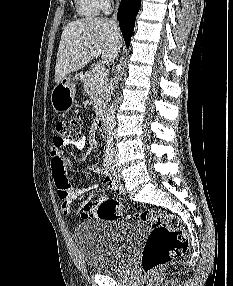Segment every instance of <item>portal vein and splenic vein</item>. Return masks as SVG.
Wrapping results in <instances>:
<instances>
[{
  "mask_svg": "<svg viewBox=\"0 0 233 286\" xmlns=\"http://www.w3.org/2000/svg\"><path fill=\"white\" fill-rule=\"evenodd\" d=\"M95 77L97 78V80L99 81H103L106 77V71L104 68L99 67L96 69V74Z\"/></svg>",
  "mask_w": 233,
  "mask_h": 286,
  "instance_id": "portal-vein-and-splenic-vein-1",
  "label": "portal vein and splenic vein"
}]
</instances>
